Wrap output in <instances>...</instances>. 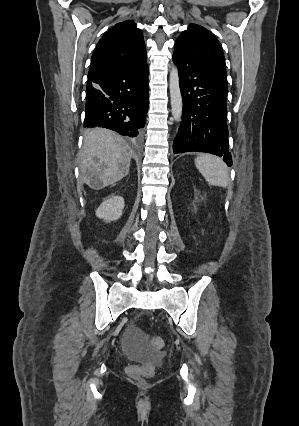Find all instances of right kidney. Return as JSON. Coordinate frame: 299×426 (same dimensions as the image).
I'll return each instance as SVG.
<instances>
[{
  "instance_id": "right-kidney-1",
  "label": "right kidney",
  "mask_w": 299,
  "mask_h": 426,
  "mask_svg": "<svg viewBox=\"0 0 299 426\" xmlns=\"http://www.w3.org/2000/svg\"><path fill=\"white\" fill-rule=\"evenodd\" d=\"M124 199L121 196H112L104 200L96 210V216L106 222L118 220L123 213Z\"/></svg>"
}]
</instances>
